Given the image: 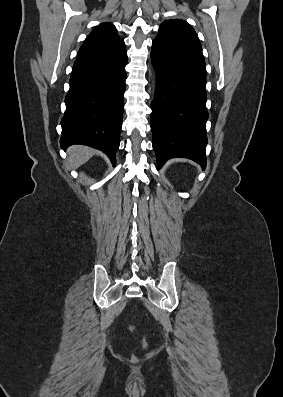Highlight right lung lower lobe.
I'll use <instances>...</instances> for the list:
<instances>
[{
  "label": "right lung lower lobe",
  "mask_w": 283,
  "mask_h": 397,
  "mask_svg": "<svg viewBox=\"0 0 283 397\" xmlns=\"http://www.w3.org/2000/svg\"><path fill=\"white\" fill-rule=\"evenodd\" d=\"M127 57L110 65L72 72L60 145L103 151L115 165L122 126Z\"/></svg>",
  "instance_id": "98d812e1"
}]
</instances>
